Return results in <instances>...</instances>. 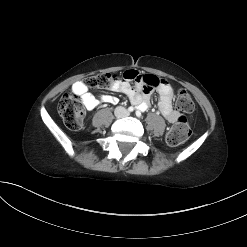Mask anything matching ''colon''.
<instances>
[{
	"label": "colon",
	"instance_id": "5ec220e1",
	"mask_svg": "<svg viewBox=\"0 0 247 247\" xmlns=\"http://www.w3.org/2000/svg\"><path fill=\"white\" fill-rule=\"evenodd\" d=\"M115 73H101L88 77L86 86L92 89H107L111 87V81ZM150 86L157 85V80L152 77L146 78ZM176 108L181 113H191L194 110V102L190 94L185 90H180L176 96ZM85 105L76 95L64 94L58 104V112L67 128L79 130L84 122ZM191 134L190 126L184 115L179 116L176 123L168 131L166 141L171 146H177L185 142Z\"/></svg>",
	"mask_w": 247,
	"mask_h": 247
}]
</instances>
